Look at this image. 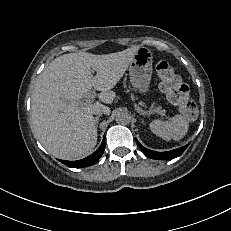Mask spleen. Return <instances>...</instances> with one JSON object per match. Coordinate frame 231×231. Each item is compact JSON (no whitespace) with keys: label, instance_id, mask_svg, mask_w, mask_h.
Listing matches in <instances>:
<instances>
[{"label":"spleen","instance_id":"obj_1","mask_svg":"<svg viewBox=\"0 0 231 231\" xmlns=\"http://www.w3.org/2000/svg\"><path fill=\"white\" fill-rule=\"evenodd\" d=\"M150 130L164 140L182 139L189 127V122L183 115H176L169 121L154 120L149 124Z\"/></svg>","mask_w":231,"mask_h":231}]
</instances>
